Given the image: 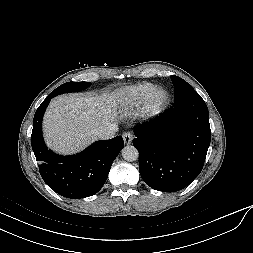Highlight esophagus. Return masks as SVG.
<instances>
[{"label": "esophagus", "instance_id": "obj_1", "mask_svg": "<svg viewBox=\"0 0 253 253\" xmlns=\"http://www.w3.org/2000/svg\"><path fill=\"white\" fill-rule=\"evenodd\" d=\"M122 137H123L124 143L127 145H129L133 140V135L131 132H124Z\"/></svg>", "mask_w": 253, "mask_h": 253}]
</instances>
